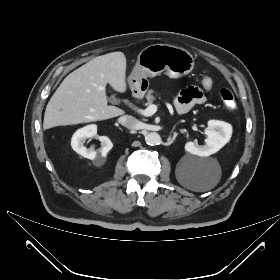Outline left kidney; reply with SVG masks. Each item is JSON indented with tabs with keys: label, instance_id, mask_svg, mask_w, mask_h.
Listing matches in <instances>:
<instances>
[{
	"label": "left kidney",
	"instance_id": "left-kidney-1",
	"mask_svg": "<svg viewBox=\"0 0 280 280\" xmlns=\"http://www.w3.org/2000/svg\"><path fill=\"white\" fill-rule=\"evenodd\" d=\"M207 139L205 145H197L192 141L185 144V150L193 155L207 157L218 152L232 135V126L219 120H209L205 129Z\"/></svg>",
	"mask_w": 280,
	"mask_h": 280
}]
</instances>
